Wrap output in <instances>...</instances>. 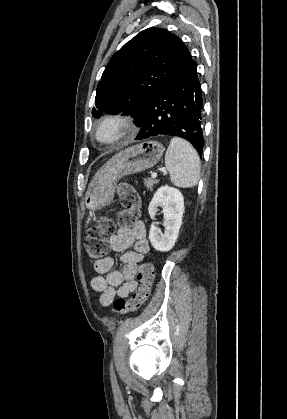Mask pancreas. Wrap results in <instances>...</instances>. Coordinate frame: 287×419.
Listing matches in <instances>:
<instances>
[{"instance_id": "1", "label": "pancreas", "mask_w": 287, "mask_h": 419, "mask_svg": "<svg viewBox=\"0 0 287 419\" xmlns=\"http://www.w3.org/2000/svg\"><path fill=\"white\" fill-rule=\"evenodd\" d=\"M158 183V180H153V179H148V180H146L145 182H144V184H145V186H146V188H147V190H150V191H152L153 190V187L155 186V184H157Z\"/></svg>"}]
</instances>
